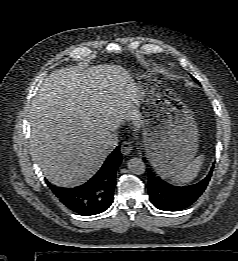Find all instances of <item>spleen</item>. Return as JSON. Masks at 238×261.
Instances as JSON below:
<instances>
[{
  "label": "spleen",
  "mask_w": 238,
  "mask_h": 261,
  "mask_svg": "<svg viewBox=\"0 0 238 261\" xmlns=\"http://www.w3.org/2000/svg\"><path fill=\"white\" fill-rule=\"evenodd\" d=\"M203 155L198 156L193 161H191L182 171L175 174L171 178V182L176 185H183L190 183L198 174L203 164Z\"/></svg>",
  "instance_id": "obj_1"
}]
</instances>
